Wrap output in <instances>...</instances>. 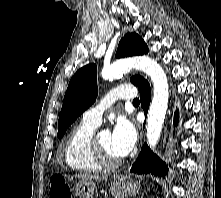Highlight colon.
<instances>
[{
  "label": "colon",
  "mask_w": 221,
  "mask_h": 198,
  "mask_svg": "<svg viewBox=\"0 0 221 198\" xmlns=\"http://www.w3.org/2000/svg\"><path fill=\"white\" fill-rule=\"evenodd\" d=\"M49 198H72L71 191L62 175H54L50 180Z\"/></svg>",
  "instance_id": "5ec220e1"
}]
</instances>
